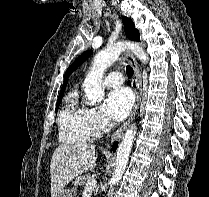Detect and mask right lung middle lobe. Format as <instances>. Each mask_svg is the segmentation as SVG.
Masks as SVG:
<instances>
[{"mask_svg": "<svg viewBox=\"0 0 209 197\" xmlns=\"http://www.w3.org/2000/svg\"><path fill=\"white\" fill-rule=\"evenodd\" d=\"M61 100H62V99L57 100V103H56V110H58V107H59V105H60Z\"/></svg>", "mask_w": 209, "mask_h": 197, "instance_id": "right-lung-middle-lobe-1", "label": "right lung middle lobe"}]
</instances>
